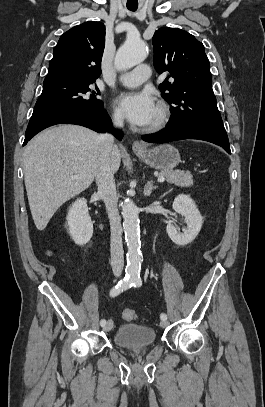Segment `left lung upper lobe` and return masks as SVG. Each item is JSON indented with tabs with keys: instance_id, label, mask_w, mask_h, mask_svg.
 Masks as SVG:
<instances>
[{
	"instance_id": "left-lung-upper-lobe-1",
	"label": "left lung upper lobe",
	"mask_w": 265,
	"mask_h": 407,
	"mask_svg": "<svg viewBox=\"0 0 265 407\" xmlns=\"http://www.w3.org/2000/svg\"><path fill=\"white\" fill-rule=\"evenodd\" d=\"M152 42L155 69L170 74L159 85L161 96L171 107L167 127H196L227 137L204 45L178 28L158 29Z\"/></svg>"
}]
</instances>
